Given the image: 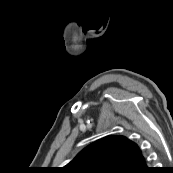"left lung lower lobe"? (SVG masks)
Returning a JSON list of instances; mask_svg holds the SVG:
<instances>
[{"label": "left lung lower lobe", "instance_id": "obj_1", "mask_svg": "<svg viewBox=\"0 0 173 173\" xmlns=\"http://www.w3.org/2000/svg\"><path fill=\"white\" fill-rule=\"evenodd\" d=\"M152 172L153 171L151 170V168L147 167L141 173H152Z\"/></svg>", "mask_w": 173, "mask_h": 173}]
</instances>
